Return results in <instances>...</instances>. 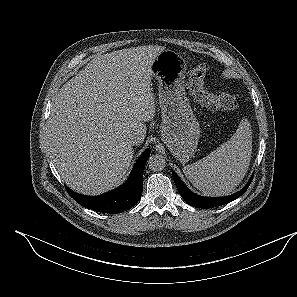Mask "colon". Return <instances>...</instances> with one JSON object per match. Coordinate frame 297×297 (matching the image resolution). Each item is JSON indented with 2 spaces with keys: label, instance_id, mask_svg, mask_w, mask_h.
<instances>
[{
  "label": "colon",
  "instance_id": "colon-1",
  "mask_svg": "<svg viewBox=\"0 0 297 297\" xmlns=\"http://www.w3.org/2000/svg\"><path fill=\"white\" fill-rule=\"evenodd\" d=\"M208 67L199 63L189 73V89L193 97L206 109L216 111H231L237 107L238 101L229 93H211L205 87V77Z\"/></svg>",
  "mask_w": 297,
  "mask_h": 297
}]
</instances>
